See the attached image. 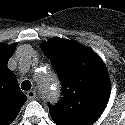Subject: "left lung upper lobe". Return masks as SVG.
Returning a JSON list of instances; mask_svg holds the SVG:
<instances>
[{"mask_svg": "<svg viewBox=\"0 0 125 125\" xmlns=\"http://www.w3.org/2000/svg\"><path fill=\"white\" fill-rule=\"evenodd\" d=\"M50 58L62 85V98L49 105L57 125H91L105 109L110 80L105 64L89 48L66 39L53 38L41 46Z\"/></svg>", "mask_w": 125, "mask_h": 125, "instance_id": "left-lung-upper-lobe-1", "label": "left lung upper lobe"}]
</instances>
